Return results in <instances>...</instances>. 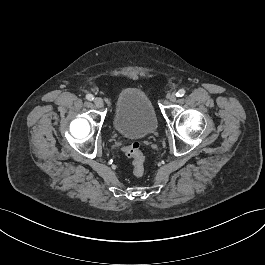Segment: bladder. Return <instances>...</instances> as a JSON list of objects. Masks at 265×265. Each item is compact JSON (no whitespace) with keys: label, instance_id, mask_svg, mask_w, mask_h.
Masks as SVG:
<instances>
[{"label":"bladder","instance_id":"bladder-1","mask_svg":"<svg viewBox=\"0 0 265 265\" xmlns=\"http://www.w3.org/2000/svg\"><path fill=\"white\" fill-rule=\"evenodd\" d=\"M113 126L118 134L130 139H143L155 133L157 116L143 89L129 87L120 92L116 99Z\"/></svg>","mask_w":265,"mask_h":265}]
</instances>
